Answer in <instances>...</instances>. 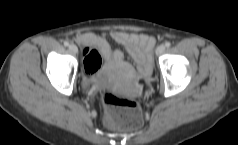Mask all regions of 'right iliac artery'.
Listing matches in <instances>:
<instances>
[{"mask_svg": "<svg viewBox=\"0 0 238 145\" xmlns=\"http://www.w3.org/2000/svg\"><path fill=\"white\" fill-rule=\"evenodd\" d=\"M64 45L65 46H69V42L68 41H64Z\"/></svg>", "mask_w": 238, "mask_h": 145, "instance_id": "obj_1", "label": "right iliac artery"}]
</instances>
